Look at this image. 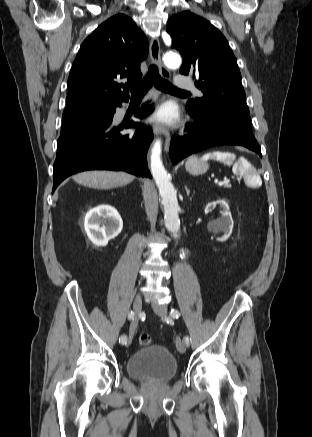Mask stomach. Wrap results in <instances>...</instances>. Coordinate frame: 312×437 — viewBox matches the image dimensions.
Returning a JSON list of instances; mask_svg holds the SVG:
<instances>
[{"label": "stomach", "instance_id": "obj_1", "mask_svg": "<svg viewBox=\"0 0 312 437\" xmlns=\"http://www.w3.org/2000/svg\"><path fill=\"white\" fill-rule=\"evenodd\" d=\"M185 168L187 172L192 175H200L204 174L209 166L206 160L198 158L197 156H192L186 161Z\"/></svg>", "mask_w": 312, "mask_h": 437}]
</instances>
